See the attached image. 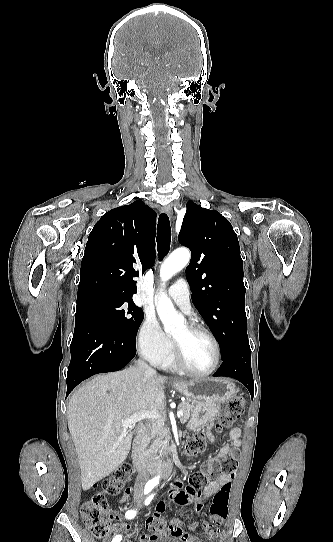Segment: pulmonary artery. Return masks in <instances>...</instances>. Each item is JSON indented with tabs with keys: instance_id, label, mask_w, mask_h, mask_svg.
Returning <instances> with one entry per match:
<instances>
[{
	"instance_id": "1",
	"label": "pulmonary artery",
	"mask_w": 333,
	"mask_h": 542,
	"mask_svg": "<svg viewBox=\"0 0 333 542\" xmlns=\"http://www.w3.org/2000/svg\"><path fill=\"white\" fill-rule=\"evenodd\" d=\"M190 286L186 279L178 280L177 285L173 284L165 291V296L171 298L172 301L186 314L192 313V305L190 299Z\"/></svg>"
}]
</instances>
